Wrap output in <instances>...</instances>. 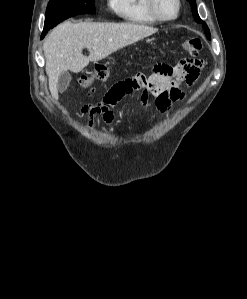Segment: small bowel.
Here are the masks:
<instances>
[{"label": "small bowel", "instance_id": "small-bowel-1", "mask_svg": "<svg viewBox=\"0 0 247 299\" xmlns=\"http://www.w3.org/2000/svg\"><path fill=\"white\" fill-rule=\"evenodd\" d=\"M202 61L197 59H183L174 65L158 64L152 73L145 77L136 74L115 84L105 95L103 101L96 105H85L81 109L82 115L87 116V125L95 130L99 119L107 124L114 122V107L125 95L140 90V100L143 110L148 111L149 97H155V105L161 112H169L174 103L181 101L185 94L181 90L182 83L193 86L199 77Z\"/></svg>", "mask_w": 247, "mask_h": 299}]
</instances>
